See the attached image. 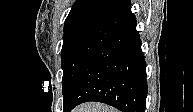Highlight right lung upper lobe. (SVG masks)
<instances>
[{"mask_svg":"<svg viewBox=\"0 0 193 112\" xmlns=\"http://www.w3.org/2000/svg\"><path fill=\"white\" fill-rule=\"evenodd\" d=\"M134 20L130 0H76L65 20L64 32L81 27L117 32Z\"/></svg>","mask_w":193,"mask_h":112,"instance_id":"right-lung-upper-lobe-1","label":"right lung upper lobe"}]
</instances>
